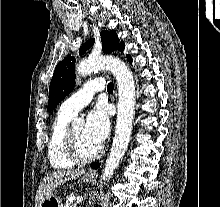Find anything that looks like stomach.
I'll list each match as a JSON object with an SVG mask.
<instances>
[{"label":"stomach","mask_w":220,"mask_h":207,"mask_svg":"<svg viewBox=\"0 0 220 207\" xmlns=\"http://www.w3.org/2000/svg\"><path fill=\"white\" fill-rule=\"evenodd\" d=\"M93 179V177L85 175L83 176V180L86 183L91 182ZM40 207H63V203L62 200L56 196V195H51L50 197L46 198L42 204L40 205Z\"/></svg>","instance_id":"1"}]
</instances>
